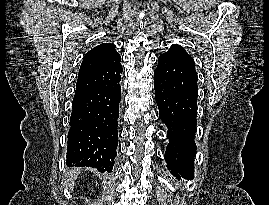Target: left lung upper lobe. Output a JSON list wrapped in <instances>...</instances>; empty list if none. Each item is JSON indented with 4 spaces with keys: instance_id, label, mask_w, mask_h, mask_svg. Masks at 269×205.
<instances>
[{
    "instance_id": "left-lung-upper-lobe-1",
    "label": "left lung upper lobe",
    "mask_w": 269,
    "mask_h": 205,
    "mask_svg": "<svg viewBox=\"0 0 269 205\" xmlns=\"http://www.w3.org/2000/svg\"><path fill=\"white\" fill-rule=\"evenodd\" d=\"M163 55L179 58V59H187L194 63L193 58L186 52V50L179 45H172L171 48L165 52Z\"/></svg>"
}]
</instances>
